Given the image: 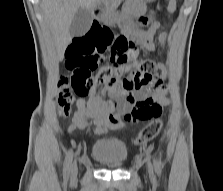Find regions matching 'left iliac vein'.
<instances>
[{
  "label": "left iliac vein",
  "mask_w": 223,
  "mask_h": 191,
  "mask_svg": "<svg viewBox=\"0 0 223 191\" xmlns=\"http://www.w3.org/2000/svg\"><path fill=\"white\" fill-rule=\"evenodd\" d=\"M147 169H148V172H149V175L151 177V179H155V175H154V171H153V167L150 163H148L147 165Z\"/></svg>",
  "instance_id": "left-iliac-vein-1"
}]
</instances>
